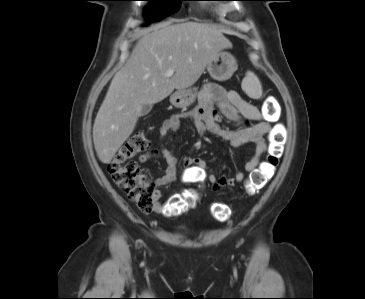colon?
<instances>
[{
    "instance_id": "1",
    "label": "colon",
    "mask_w": 365,
    "mask_h": 299,
    "mask_svg": "<svg viewBox=\"0 0 365 299\" xmlns=\"http://www.w3.org/2000/svg\"><path fill=\"white\" fill-rule=\"evenodd\" d=\"M275 114L276 107L273 102H268L263 116L272 119ZM284 141L285 128L282 125H277L269 136V149L266 160L259 169L251 173L245 182L244 189L247 195H254L272 178L283 154ZM148 148L149 140L144 130H137L108 164V173L114 183L143 212L154 210L157 190L155 184L141 172L140 167L132 158ZM198 198V193L193 190L174 196L165 204L164 213L170 216L185 213L195 206ZM211 215L219 221H224L230 216V210L222 203H215L211 207Z\"/></svg>"
}]
</instances>
